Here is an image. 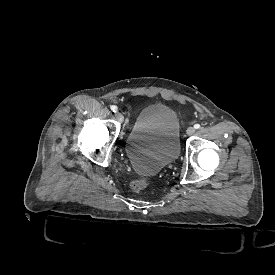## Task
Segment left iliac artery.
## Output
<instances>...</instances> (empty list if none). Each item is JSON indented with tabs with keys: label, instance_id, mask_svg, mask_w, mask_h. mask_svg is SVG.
I'll list each match as a JSON object with an SVG mask.
<instances>
[{
	"label": "left iliac artery",
	"instance_id": "left-iliac-artery-1",
	"mask_svg": "<svg viewBox=\"0 0 275 275\" xmlns=\"http://www.w3.org/2000/svg\"><path fill=\"white\" fill-rule=\"evenodd\" d=\"M194 128H195V129H199V128H200V125H199V124H195V125H194Z\"/></svg>",
	"mask_w": 275,
	"mask_h": 275
}]
</instances>
